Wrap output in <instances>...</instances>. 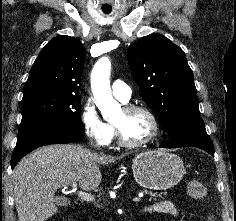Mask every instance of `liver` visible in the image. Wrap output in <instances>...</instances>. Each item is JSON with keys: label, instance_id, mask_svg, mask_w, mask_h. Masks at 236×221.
I'll list each match as a JSON object with an SVG mask.
<instances>
[{"label": "liver", "instance_id": "1", "mask_svg": "<svg viewBox=\"0 0 236 221\" xmlns=\"http://www.w3.org/2000/svg\"><path fill=\"white\" fill-rule=\"evenodd\" d=\"M123 156H106L71 144L45 146L27 155L12 174L19 221H46L58 211L57 189L78 182L82 190H94L102 180L99 165Z\"/></svg>", "mask_w": 236, "mask_h": 221}]
</instances>
